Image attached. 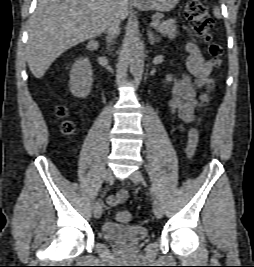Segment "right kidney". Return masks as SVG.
<instances>
[{
    "instance_id": "right-kidney-1",
    "label": "right kidney",
    "mask_w": 254,
    "mask_h": 267,
    "mask_svg": "<svg viewBox=\"0 0 254 267\" xmlns=\"http://www.w3.org/2000/svg\"><path fill=\"white\" fill-rule=\"evenodd\" d=\"M91 64L88 58L78 59L70 71L69 90L77 98H86L93 83Z\"/></svg>"
}]
</instances>
